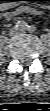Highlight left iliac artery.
<instances>
[{"label": "left iliac artery", "mask_w": 50, "mask_h": 111, "mask_svg": "<svg viewBox=\"0 0 50 111\" xmlns=\"http://www.w3.org/2000/svg\"><path fill=\"white\" fill-rule=\"evenodd\" d=\"M27 29L29 32H34L36 30L35 26L33 25H28Z\"/></svg>", "instance_id": "obj_1"}]
</instances>
